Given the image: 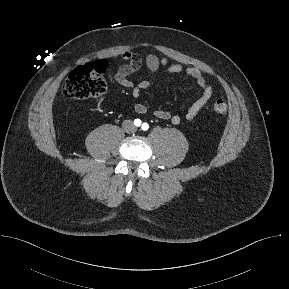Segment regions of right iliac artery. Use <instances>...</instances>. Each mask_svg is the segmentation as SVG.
Listing matches in <instances>:
<instances>
[{
    "label": "right iliac artery",
    "mask_w": 289,
    "mask_h": 289,
    "mask_svg": "<svg viewBox=\"0 0 289 289\" xmlns=\"http://www.w3.org/2000/svg\"><path fill=\"white\" fill-rule=\"evenodd\" d=\"M134 124H135L136 126H140V125H141V120H140V119H135V120H134Z\"/></svg>",
    "instance_id": "1"
}]
</instances>
